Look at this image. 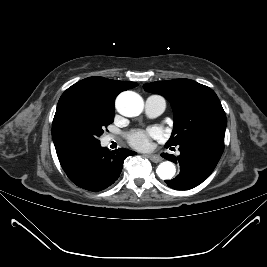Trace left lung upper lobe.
<instances>
[{
    "label": "left lung upper lobe",
    "mask_w": 267,
    "mask_h": 267,
    "mask_svg": "<svg viewBox=\"0 0 267 267\" xmlns=\"http://www.w3.org/2000/svg\"><path fill=\"white\" fill-rule=\"evenodd\" d=\"M143 87L164 96L173 108L174 128L166 147L202 140L224 143L227 119L212 89L190 79L152 82Z\"/></svg>",
    "instance_id": "5c2ea615"
}]
</instances>
